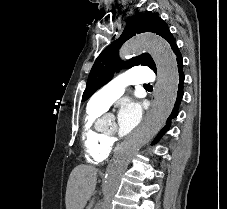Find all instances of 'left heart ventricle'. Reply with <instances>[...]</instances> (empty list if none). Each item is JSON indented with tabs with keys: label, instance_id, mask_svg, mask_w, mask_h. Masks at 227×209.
<instances>
[{
	"label": "left heart ventricle",
	"instance_id": "left-heart-ventricle-1",
	"mask_svg": "<svg viewBox=\"0 0 227 209\" xmlns=\"http://www.w3.org/2000/svg\"><path fill=\"white\" fill-rule=\"evenodd\" d=\"M116 131V124H114L111 128V130L108 133H115Z\"/></svg>",
	"mask_w": 227,
	"mask_h": 209
}]
</instances>
